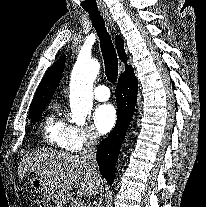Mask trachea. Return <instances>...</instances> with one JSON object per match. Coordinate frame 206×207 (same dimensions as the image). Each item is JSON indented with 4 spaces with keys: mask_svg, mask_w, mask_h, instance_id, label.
I'll return each instance as SVG.
<instances>
[{
    "mask_svg": "<svg viewBox=\"0 0 206 207\" xmlns=\"http://www.w3.org/2000/svg\"><path fill=\"white\" fill-rule=\"evenodd\" d=\"M100 39L101 52L105 64V73L108 81L114 83L118 77V58L108 34L104 20L99 11H87Z\"/></svg>",
    "mask_w": 206,
    "mask_h": 207,
    "instance_id": "obj_1",
    "label": "trachea"
}]
</instances>
